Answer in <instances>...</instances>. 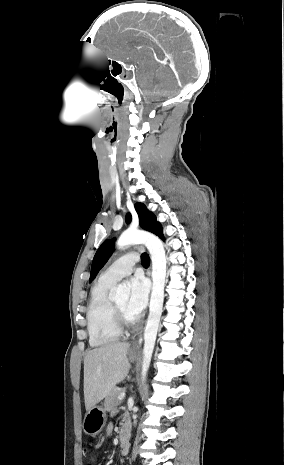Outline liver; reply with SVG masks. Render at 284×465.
I'll return each instance as SVG.
<instances>
[{
	"instance_id": "1",
	"label": "liver",
	"mask_w": 284,
	"mask_h": 465,
	"mask_svg": "<svg viewBox=\"0 0 284 465\" xmlns=\"http://www.w3.org/2000/svg\"><path fill=\"white\" fill-rule=\"evenodd\" d=\"M129 343H106L84 357V401L86 411L107 397L127 377Z\"/></svg>"
}]
</instances>
